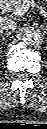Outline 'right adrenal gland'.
<instances>
[{
	"mask_svg": "<svg viewBox=\"0 0 47 129\" xmlns=\"http://www.w3.org/2000/svg\"><path fill=\"white\" fill-rule=\"evenodd\" d=\"M8 35H9V33H8V32L0 31V36L8 37ZM3 40H5V38H4Z\"/></svg>",
	"mask_w": 47,
	"mask_h": 129,
	"instance_id": "right-adrenal-gland-1",
	"label": "right adrenal gland"
}]
</instances>
